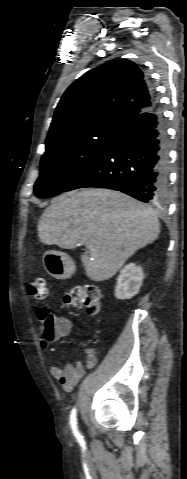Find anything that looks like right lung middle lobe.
I'll list each match as a JSON object with an SVG mask.
<instances>
[{
    "instance_id": "dd1d6c3e",
    "label": "right lung middle lobe",
    "mask_w": 187,
    "mask_h": 479,
    "mask_svg": "<svg viewBox=\"0 0 187 479\" xmlns=\"http://www.w3.org/2000/svg\"><path fill=\"white\" fill-rule=\"evenodd\" d=\"M121 129L95 125L74 129L46 142L34 193L49 198L63 192L116 138Z\"/></svg>"
}]
</instances>
